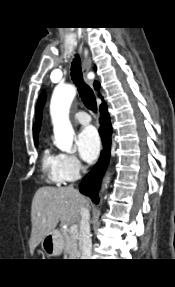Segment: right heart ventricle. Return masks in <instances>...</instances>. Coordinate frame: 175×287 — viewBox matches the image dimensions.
I'll list each match as a JSON object with an SVG mask.
<instances>
[{
  "label": "right heart ventricle",
  "instance_id": "obj_1",
  "mask_svg": "<svg viewBox=\"0 0 175 287\" xmlns=\"http://www.w3.org/2000/svg\"><path fill=\"white\" fill-rule=\"evenodd\" d=\"M42 170L48 182L61 184L63 179L60 172V158L58 154L46 149L42 155Z\"/></svg>",
  "mask_w": 175,
  "mask_h": 287
}]
</instances>
